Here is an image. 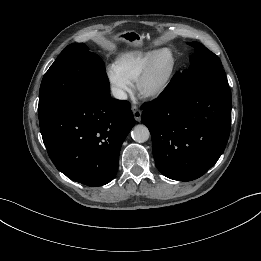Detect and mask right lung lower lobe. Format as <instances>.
<instances>
[{
    "instance_id": "right-lung-lower-lobe-1",
    "label": "right lung lower lobe",
    "mask_w": 261,
    "mask_h": 261,
    "mask_svg": "<svg viewBox=\"0 0 261 261\" xmlns=\"http://www.w3.org/2000/svg\"><path fill=\"white\" fill-rule=\"evenodd\" d=\"M47 152L70 179L96 187L115 176L119 153L134 126L130 103L109 92H80L39 117Z\"/></svg>"
}]
</instances>
